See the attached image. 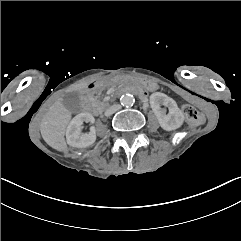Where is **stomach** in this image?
<instances>
[{"label": "stomach", "instance_id": "stomach-1", "mask_svg": "<svg viewBox=\"0 0 241 241\" xmlns=\"http://www.w3.org/2000/svg\"><path fill=\"white\" fill-rule=\"evenodd\" d=\"M111 81L117 85L118 84H122V85L139 84L150 91L156 90L158 88V84L154 80L132 76V75H126L120 72L113 74V76L111 77Z\"/></svg>", "mask_w": 241, "mask_h": 241}]
</instances>
